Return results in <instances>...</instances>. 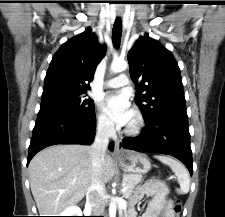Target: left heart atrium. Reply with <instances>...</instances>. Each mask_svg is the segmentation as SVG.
Wrapping results in <instances>:
<instances>
[{
  "instance_id": "left-heart-atrium-1",
  "label": "left heart atrium",
  "mask_w": 225,
  "mask_h": 217,
  "mask_svg": "<svg viewBox=\"0 0 225 217\" xmlns=\"http://www.w3.org/2000/svg\"><path fill=\"white\" fill-rule=\"evenodd\" d=\"M104 111L118 125H126L132 118L129 97L126 93H114L103 100Z\"/></svg>"
}]
</instances>
